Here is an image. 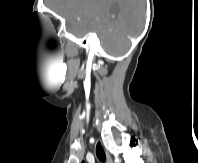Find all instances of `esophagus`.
I'll list each match as a JSON object with an SVG mask.
<instances>
[{
  "label": "esophagus",
  "instance_id": "obj_1",
  "mask_svg": "<svg viewBox=\"0 0 198 163\" xmlns=\"http://www.w3.org/2000/svg\"><path fill=\"white\" fill-rule=\"evenodd\" d=\"M105 153H106V163H113L112 158L107 150H105Z\"/></svg>",
  "mask_w": 198,
  "mask_h": 163
}]
</instances>
